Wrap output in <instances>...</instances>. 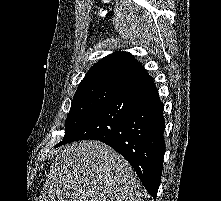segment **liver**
<instances>
[{
	"label": "liver",
	"mask_w": 221,
	"mask_h": 201,
	"mask_svg": "<svg viewBox=\"0 0 221 201\" xmlns=\"http://www.w3.org/2000/svg\"><path fill=\"white\" fill-rule=\"evenodd\" d=\"M42 201H142L130 164L95 140L58 150L42 191Z\"/></svg>",
	"instance_id": "6515ba94"
}]
</instances>
